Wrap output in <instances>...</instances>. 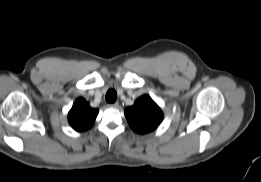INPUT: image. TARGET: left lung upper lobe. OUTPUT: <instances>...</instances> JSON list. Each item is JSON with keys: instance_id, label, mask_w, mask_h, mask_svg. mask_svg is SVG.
<instances>
[{"instance_id": "1", "label": "left lung upper lobe", "mask_w": 261, "mask_h": 182, "mask_svg": "<svg viewBox=\"0 0 261 182\" xmlns=\"http://www.w3.org/2000/svg\"><path fill=\"white\" fill-rule=\"evenodd\" d=\"M125 116L130 127L140 134L156 129L163 119L161 109L149 95L141 96L133 106L127 107Z\"/></svg>"}]
</instances>
